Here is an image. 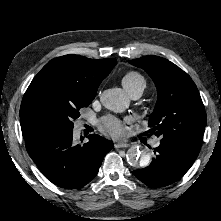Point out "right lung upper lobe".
Instances as JSON below:
<instances>
[{"label":"right lung upper lobe","instance_id":"1","mask_svg":"<svg viewBox=\"0 0 221 221\" xmlns=\"http://www.w3.org/2000/svg\"><path fill=\"white\" fill-rule=\"evenodd\" d=\"M117 64L114 58L93 60L79 55L57 57L46 64L29 85L20 108V124L24 139L33 134L55 130L54 125L28 107L27 97L37 87H45L65 95L94 99L97 89Z\"/></svg>","mask_w":221,"mask_h":221}]
</instances>
